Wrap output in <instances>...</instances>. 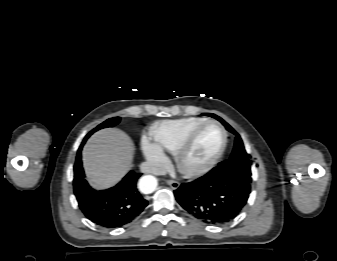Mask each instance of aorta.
I'll return each mask as SVG.
<instances>
[{"instance_id": "aorta-1", "label": "aorta", "mask_w": 337, "mask_h": 261, "mask_svg": "<svg viewBox=\"0 0 337 261\" xmlns=\"http://www.w3.org/2000/svg\"><path fill=\"white\" fill-rule=\"evenodd\" d=\"M157 179L151 175L143 176L139 180V189L144 194H150L156 190Z\"/></svg>"}]
</instances>
